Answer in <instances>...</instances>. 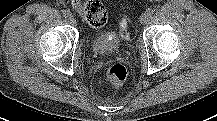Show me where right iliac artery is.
I'll list each match as a JSON object with an SVG mask.
<instances>
[{
  "label": "right iliac artery",
  "instance_id": "obj_1",
  "mask_svg": "<svg viewBox=\"0 0 217 121\" xmlns=\"http://www.w3.org/2000/svg\"><path fill=\"white\" fill-rule=\"evenodd\" d=\"M63 15H64L66 18L72 17V13H71L69 10H64V11H63Z\"/></svg>",
  "mask_w": 217,
  "mask_h": 121
}]
</instances>
